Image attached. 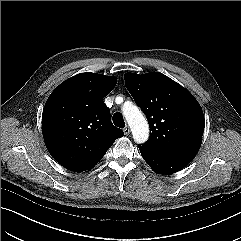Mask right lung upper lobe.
Returning <instances> with one entry per match:
<instances>
[{
  "label": "right lung upper lobe",
  "mask_w": 241,
  "mask_h": 241,
  "mask_svg": "<svg viewBox=\"0 0 241 241\" xmlns=\"http://www.w3.org/2000/svg\"><path fill=\"white\" fill-rule=\"evenodd\" d=\"M116 78L81 73L60 84L42 114V133L52 157L68 170L91 169L124 132L114 127L104 104Z\"/></svg>",
  "instance_id": "cb5924a9"
}]
</instances>
